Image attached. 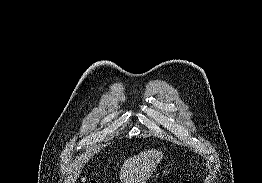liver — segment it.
<instances>
[{"instance_id": "obj_1", "label": "liver", "mask_w": 262, "mask_h": 183, "mask_svg": "<svg viewBox=\"0 0 262 183\" xmlns=\"http://www.w3.org/2000/svg\"><path fill=\"white\" fill-rule=\"evenodd\" d=\"M163 158V152L149 149L124 161L120 171L123 183H146Z\"/></svg>"}]
</instances>
